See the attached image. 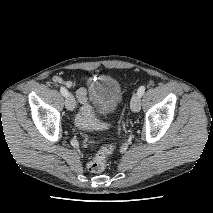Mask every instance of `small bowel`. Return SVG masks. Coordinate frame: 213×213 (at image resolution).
Returning a JSON list of instances; mask_svg holds the SVG:
<instances>
[{
    "mask_svg": "<svg viewBox=\"0 0 213 213\" xmlns=\"http://www.w3.org/2000/svg\"><path fill=\"white\" fill-rule=\"evenodd\" d=\"M54 81L59 84H63L68 88L76 86V82L71 80H64L61 77H55ZM76 96L78 101L82 104L80 111L76 116V125L80 129L84 130H96L101 127V125L96 122L92 116V109L88 99V91L86 88L81 87L77 90Z\"/></svg>",
    "mask_w": 213,
    "mask_h": 213,
    "instance_id": "small-bowel-1",
    "label": "small bowel"
}]
</instances>
